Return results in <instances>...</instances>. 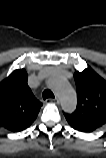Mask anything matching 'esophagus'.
Returning a JSON list of instances; mask_svg holds the SVG:
<instances>
[{"label":"esophagus","instance_id":"34e87169","mask_svg":"<svg viewBox=\"0 0 106 158\" xmlns=\"http://www.w3.org/2000/svg\"><path fill=\"white\" fill-rule=\"evenodd\" d=\"M47 101H48V102H54V103H57V104L59 103L57 97H55V98H48Z\"/></svg>","mask_w":106,"mask_h":158}]
</instances>
